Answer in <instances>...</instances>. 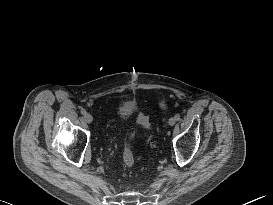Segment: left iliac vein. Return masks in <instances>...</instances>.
<instances>
[{
  "mask_svg": "<svg viewBox=\"0 0 273 205\" xmlns=\"http://www.w3.org/2000/svg\"><path fill=\"white\" fill-rule=\"evenodd\" d=\"M168 123H169L170 126H173V125L176 123L175 118H174V117H171V118L169 119Z\"/></svg>",
  "mask_w": 273,
  "mask_h": 205,
  "instance_id": "left-iliac-vein-1",
  "label": "left iliac vein"
}]
</instances>
